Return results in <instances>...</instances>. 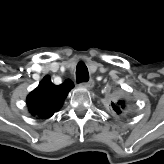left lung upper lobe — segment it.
<instances>
[{
    "mask_svg": "<svg viewBox=\"0 0 164 164\" xmlns=\"http://www.w3.org/2000/svg\"><path fill=\"white\" fill-rule=\"evenodd\" d=\"M112 107L115 109V111L119 114L121 113V109L124 108V102L123 101H119L118 102V106L117 105H112Z\"/></svg>",
    "mask_w": 164,
    "mask_h": 164,
    "instance_id": "left-lung-upper-lobe-1",
    "label": "left lung upper lobe"
}]
</instances>
